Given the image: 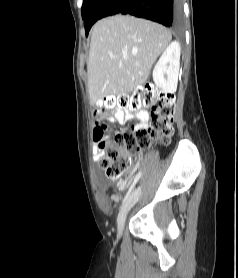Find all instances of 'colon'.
Returning a JSON list of instances; mask_svg holds the SVG:
<instances>
[{
	"instance_id": "colon-1",
	"label": "colon",
	"mask_w": 238,
	"mask_h": 278,
	"mask_svg": "<svg viewBox=\"0 0 238 278\" xmlns=\"http://www.w3.org/2000/svg\"><path fill=\"white\" fill-rule=\"evenodd\" d=\"M115 107L149 113L151 124L134 132L116 134L112 141L104 140L105 124L101 114ZM174 96L158 92L150 86L137 89L131 95L105 97L95 112L94 139L101 140L102 156L99 166L110 178H117L131 164V153L141 154L152 141L167 144L173 134Z\"/></svg>"
}]
</instances>
